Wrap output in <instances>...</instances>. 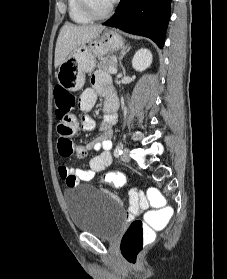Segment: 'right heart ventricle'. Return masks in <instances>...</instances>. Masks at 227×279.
<instances>
[{
  "label": "right heart ventricle",
  "instance_id": "right-heart-ventricle-1",
  "mask_svg": "<svg viewBox=\"0 0 227 279\" xmlns=\"http://www.w3.org/2000/svg\"><path fill=\"white\" fill-rule=\"evenodd\" d=\"M69 18L77 24H88L91 19L81 10L78 0H67Z\"/></svg>",
  "mask_w": 227,
  "mask_h": 279
}]
</instances>
